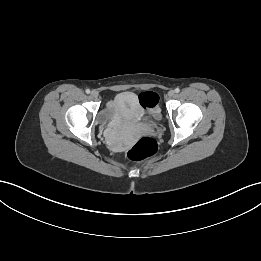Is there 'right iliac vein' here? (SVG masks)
I'll use <instances>...</instances> for the list:
<instances>
[{
	"label": "right iliac vein",
	"instance_id": "obj_1",
	"mask_svg": "<svg viewBox=\"0 0 261 261\" xmlns=\"http://www.w3.org/2000/svg\"><path fill=\"white\" fill-rule=\"evenodd\" d=\"M98 92L96 91V90H93L92 92H91V96L93 97V98H97L98 97Z\"/></svg>",
	"mask_w": 261,
	"mask_h": 261
}]
</instances>
